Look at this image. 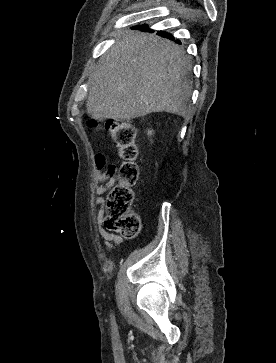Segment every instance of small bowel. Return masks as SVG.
<instances>
[{"mask_svg": "<svg viewBox=\"0 0 276 363\" xmlns=\"http://www.w3.org/2000/svg\"><path fill=\"white\" fill-rule=\"evenodd\" d=\"M106 158L103 154L99 153L95 157V168H96V175L95 178L99 184H97L94 188L95 194L97 197L95 198V205L100 208L98 215H97V224H98V231L103 238L104 245L109 248L113 249L116 245L123 242V238L119 235L110 233L106 231L101 226V220L103 217V205L104 199L101 197L109 188H111L116 180L112 177L111 173L115 169V166H111L108 171H103L105 167Z\"/></svg>", "mask_w": 276, "mask_h": 363, "instance_id": "obj_1", "label": "small bowel"}]
</instances>
